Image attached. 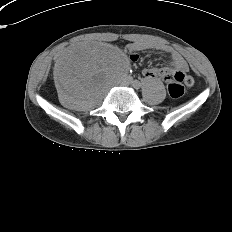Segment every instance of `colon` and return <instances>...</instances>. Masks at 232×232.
<instances>
[{
  "label": "colon",
  "instance_id": "obj_1",
  "mask_svg": "<svg viewBox=\"0 0 232 232\" xmlns=\"http://www.w3.org/2000/svg\"><path fill=\"white\" fill-rule=\"evenodd\" d=\"M192 79L184 74H175L168 83V92L172 98H179L184 93V84L190 85Z\"/></svg>",
  "mask_w": 232,
  "mask_h": 232
}]
</instances>
